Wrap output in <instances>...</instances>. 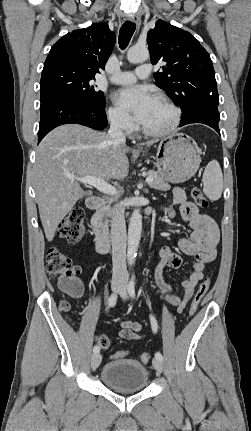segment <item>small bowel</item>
Here are the masks:
<instances>
[{
  "label": "small bowel",
  "mask_w": 251,
  "mask_h": 431,
  "mask_svg": "<svg viewBox=\"0 0 251 431\" xmlns=\"http://www.w3.org/2000/svg\"><path fill=\"white\" fill-rule=\"evenodd\" d=\"M175 207H178L182 218L187 221L193 232L189 238L178 240L179 249L186 255L195 259L193 271L188 279L181 281L183 294L181 296L167 294L163 297V303L177 307L181 313L190 301L195 287L204 276L206 265L217 256L219 243V230L215 221L207 214L201 213L197 206L188 201L184 191L175 188L172 191L170 206L164 208L169 216H174ZM181 264V258L172 252L170 247L164 246L160 250V261L155 269V280L164 292H171L172 286L163 280L162 272L165 266L177 268ZM121 329L118 336L125 340H140L142 325L139 322L121 319Z\"/></svg>",
  "instance_id": "small-bowel-1"
}]
</instances>
